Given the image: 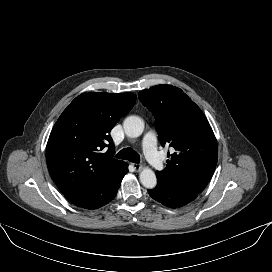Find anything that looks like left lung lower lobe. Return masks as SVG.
Here are the masks:
<instances>
[{"mask_svg": "<svg viewBox=\"0 0 272 272\" xmlns=\"http://www.w3.org/2000/svg\"><path fill=\"white\" fill-rule=\"evenodd\" d=\"M148 193L163 205L178 208L193 201L200 191L173 182L158 181L157 186Z\"/></svg>", "mask_w": 272, "mask_h": 272, "instance_id": "left-lung-lower-lobe-1", "label": "left lung lower lobe"}]
</instances>
